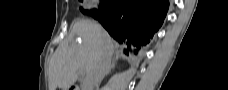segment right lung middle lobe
I'll list each match as a JSON object with an SVG mask.
<instances>
[{"label": "right lung middle lobe", "mask_w": 228, "mask_h": 90, "mask_svg": "<svg viewBox=\"0 0 228 90\" xmlns=\"http://www.w3.org/2000/svg\"><path fill=\"white\" fill-rule=\"evenodd\" d=\"M80 1H82V0H80ZM107 5V2H106V0H101V4H100V7L98 8V9H103L105 6ZM82 10V9H81ZM83 11V10H82ZM84 12V11H83ZM97 12V10L96 9H94L92 12H91V14H94V13H96ZM86 13V12H85Z\"/></svg>", "instance_id": "1"}]
</instances>
